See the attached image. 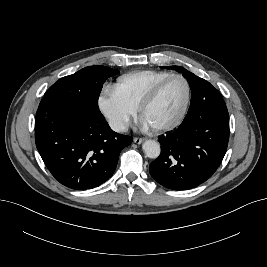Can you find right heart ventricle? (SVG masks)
Returning <instances> with one entry per match:
<instances>
[{"label": "right heart ventricle", "instance_id": "right-heart-ventricle-1", "mask_svg": "<svg viewBox=\"0 0 267 267\" xmlns=\"http://www.w3.org/2000/svg\"><path fill=\"white\" fill-rule=\"evenodd\" d=\"M167 71L142 70L125 74L117 79L114 90L129 105L138 109L152 87L170 75Z\"/></svg>", "mask_w": 267, "mask_h": 267}]
</instances>
